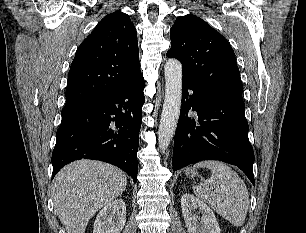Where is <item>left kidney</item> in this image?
I'll return each mask as SVG.
<instances>
[{
  "label": "left kidney",
  "instance_id": "obj_1",
  "mask_svg": "<svg viewBox=\"0 0 306 233\" xmlns=\"http://www.w3.org/2000/svg\"><path fill=\"white\" fill-rule=\"evenodd\" d=\"M181 208L189 233H220L213 211L203 201L185 193L181 197ZM198 214H201V217Z\"/></svg>",
  "mask_w": 306,
  "mask_h": 233
}]
</instances>
